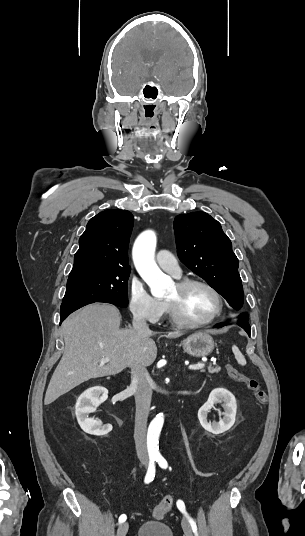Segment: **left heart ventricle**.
Here are the masks:
<instances>
[{
	"instance_id": "obj_1",
	"label": "left heart ventricle",
	"mask_w": 305,
	"mask_h": 536,
	"mask_svg": "<svg viewBox=\"0 0 305 536\" xmlns=\"http://www.w3.org/2000/svg\"><path fill=\"white\" fill-rule=\"evenodd\" d=\"M165 300L178 306L184 316L193 322L211 318L220 308L218 297L210 289L200 285L182 291L175 284Z\"/></svg>"
}]
</instances>
